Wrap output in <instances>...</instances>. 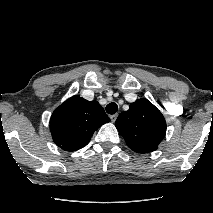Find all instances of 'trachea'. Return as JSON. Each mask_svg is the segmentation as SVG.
I'll use <instances>...</instances> for the list:
<instances>
[{"mask_svg":"<svg viewBox=\"0 0 213 213\" xmlns=\"http://www.w3.org/2000/svg\"><path fill=\"white\" fill-rule=\"evenodd\" d=\"M117 111H118V106L114 102H111L106 106V112L108 114H115Z\"/></svg>","mask_w":213,"mask_h":213,"instance_id":"3493384b","label":"trachea"}]
</instances>
